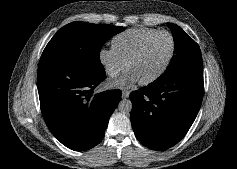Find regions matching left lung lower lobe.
<instances>
[{"label":"left lung lower lobe","instance_id":"obj_1","mask_svg":"<svg viewBox=\"0 0 237 169\" xmlns=\"http://www.w3.org/2000/svg\"><path fill=\"white\" fill-rule=\"evenodd\" d=\"M203 92V68L158 78L133 91L131 123L137 139L153 150L177 144L193 124Z\"/></svg>","mask_w":237,"mask_h":169}]
</instances>
